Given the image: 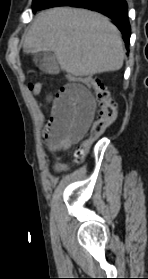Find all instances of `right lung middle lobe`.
Instances as JSON below:
<instances>
[{"label": "right lung middle lobe", "mask_w": 148, "mask_h": 279, "mask_svg": "<svg viewBox=\"0 0 148 279\" xmlns=\"http://www.w3.org/2000/svg\"><path fill=\"white\" fill-rule=\"evenodd\" d=\"M48 1L49 0H33V12L35 13L37 10L43 9Z\"/></svg>", "instance_id": "1"}]
</instances>
